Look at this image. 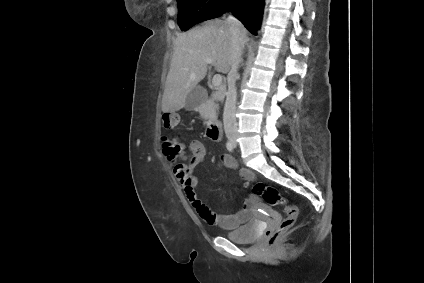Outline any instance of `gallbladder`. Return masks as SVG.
Returning <instances> with one entry per match:
<instances>
[{
	"label": "gallbladder",
	"mask_w": 424,
	"mask_h": 283,
	"mask_svg": "<svg viewBox=\"0 0 424 283\" xmlns=\"http://www.w3.org/2000/svg\"><path fill=\"white\" fill-rule=\"evenodd\" d=\"M205 98V92L202 87L194 88L186 98V109L194 110L197 108L201 101Z\"/></svg>",
	"instance_id": "obj_1"
}]
</instances>
